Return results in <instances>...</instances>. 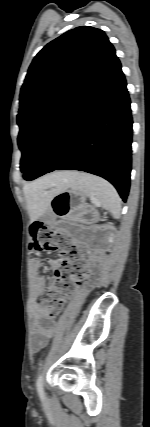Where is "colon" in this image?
<instances>
[{"mask_svg": "<svg viewBox=\"0 0 150 427\" xmlns=\"http://www.w3.org/2000/svg\"><path fill=\"white\" fill-rule=\"evenodd\" d=\"M30 250L35 253L58 251L64 258L61 266L55 271L49 297L42 302L49 315L57 318L63 304L70 299L85 275L87 250L72 243L66 233L52 230L42 222H35L31 226Z\"/></svg>", "mask_w": 150, "mask_h": 427, "instance_id": "5ec220e1", "label": "colon"}]
</instances>
